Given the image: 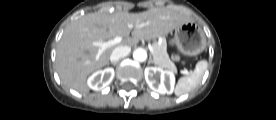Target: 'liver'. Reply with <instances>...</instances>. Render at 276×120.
<instances>
[{"label": "liver", "mask_w": 276, "mask_h": 120, "mask_svg": "<svg viewBox=\"0 0 276 120\" xmlns=\"http://www.w3.org/2000/svg\"><path fill=\"white\" fill-rule=\"evenodd\" d=\"M173 8L157 7L141 13H90L68 25L58 44L56 68L61 82L82 94L89 93L86 79L93 71L109 63L114 47L99 56L93 42H106L114 37H125L120 46H135L140 39H155L190 22ZM132 37H128L131 30Z\"/></svg>", "instance_id": "6515ba94"}]
</instances>
